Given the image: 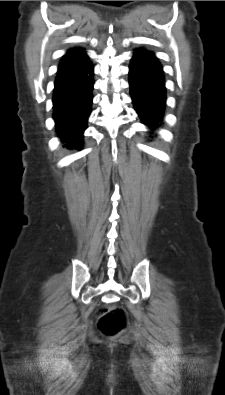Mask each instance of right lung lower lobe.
<instances>
[{
  "label": "right lung lower lobe",
  "instance_id": "1",
  "mask_svg": "<svg viewBox=\"0 0 225 395\" xmlns=\"http://www.w3.org/2000/svg\"><path fill=\"white\" fill-rule=\"evenodd\" d=\"M93 65L58 70L54 83L53 118L61 141L78 148L83 143V132L91 113L93 91Z\"/></svg>",
  "mask_w": 225,
  "mask_h": 395
}]
</instances>
